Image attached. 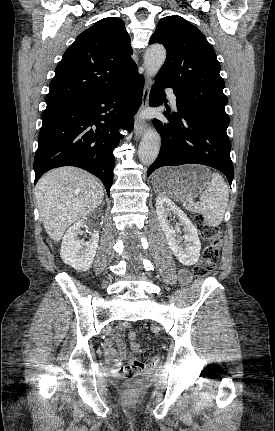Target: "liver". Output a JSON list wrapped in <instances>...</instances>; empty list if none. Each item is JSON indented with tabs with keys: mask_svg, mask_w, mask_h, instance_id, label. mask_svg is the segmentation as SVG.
I'll list each match as a JSON object with an SVG mask.
<instances>
[{
	"mask_svg": "<svg viewBox=\"0 0 275 431\" xmlns=\"http://www.w3.org/2000/svg\"><path fill=\"white\" fill-rule=\"evenodd\" d=\"M35 196L44 228L58 242L72 223L101 204L104 190L101 182L87 171L61 167L38 181Z\"/></svg>",
	"mask_w": 275,
	"mask_h": 431,
	"instance_id": "6515ba94",
	"label": "liver"
}]
</instances>
